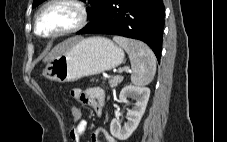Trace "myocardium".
I'll list each match as a JSON object with an SVG mask.
<instances>
[{
    "label": "myocardium",
    "mask_w": 227,
    "mask_h": 142,
    "mask_svg": "<svg viewBox=\"0 0 227 142\" xmlns=\"http://www.w3.org/2000/svg\"><path fill=\"white\" fill-rule=\"evenodd\" d=\"M54 5H71L76 8L78 12V20L77 22L70 28L52 33V34H42L38 30V25H39V20L42 15V13L49 7L54 6ZM89 18V9L86 3L82 0H48L46 1L37 11L35 15V20H34V33L37 36H40L42 38H59L63 37L72 33H75L82 29Z\"/></svg>",
    "instance_id": "f54148a6"
}]
</instances>
